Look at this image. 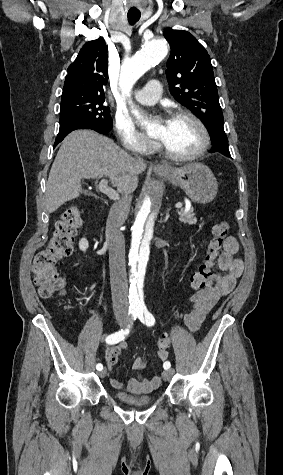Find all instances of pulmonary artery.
Masks as SVG:
<instances>
[{
	"label": "pulmonary artery",
	"mask_w": 283,
	"mask_h": 475,
	"mask_svg": "<svg viewBox=\"0 0 283 475\" xmlns=\"http://www.w3.org/2000/svg\"><path fill=\"white\" fill-rule=\"evenodd\" d=\"M161 80H148L147 85L141 87L136 91L139 93L135 96V99L143 104H152L159 100L161 97ZM119 90H132V89H119Z\"/></svg>",
	"instance_id": "e3ab8cb5"
}]
</instances>
